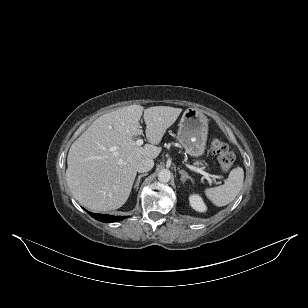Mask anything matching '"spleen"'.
I'll use <instances>...</instances> for the list:
<instances>
[{
  "label": "spleen",
  "instance_id": "3e777b00",
  "mask_svg": "<svg viewBox=\"0 0 308 308\" xmlns=\"http://www.w3.org/2000/svg\"><path fill=\"white\" fill-rule=\"evenodd\" d=\"M244 180L243 168L231 170L224 185L205 189V195L216 206H226L232 202L242 189Z\"/></svg>",
  "mask_w": 308,
  "mask_h": 308
}]
</instances>
